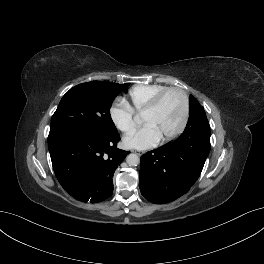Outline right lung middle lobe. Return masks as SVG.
<instances>
[{
	"mask_svg": "<svg viewBox=\"0 0 264 264\" xmlns=\"http://www.w3.org/2000/svg\"><path fill=\"white\" fill-rule=\"evenodd\" d=\"M128 86L129 83L91 81L71 88L52 116L48 143L65 135L105 137L116 134L110 107Z\"/></svg>",
	"mask_w": 264,
	"mask_h": 264,
	"instance_id": "right-lung-middle-lobe-1",
	"label": "right lung middle lobe"
}]
</instances>
